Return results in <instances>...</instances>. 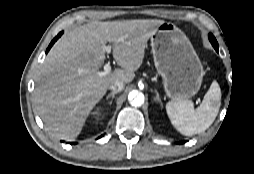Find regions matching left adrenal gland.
<instances>
[{
  "label": "left adrenal gland",
  "mask_w": 254,
  "mask_h": 174,
  "mask_svg": "<svg viewBox=\"0 0 254 174\" xmlns=\"http://www.w3.org/2000/svg\"><path fill=\"white\" fill-rule=\"evenodd\" d=\"M155 93H156V97H155L154 101L155 102H159L160 105L162 106V101H161V99L159 97V93L157 92V90H155Z\"/></svg>",
  "instance_id": "left-adrenal-gland-1"
}]
</instances>
